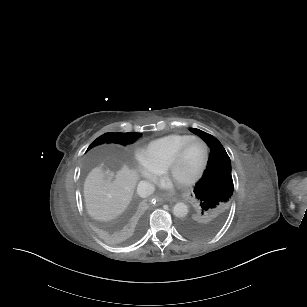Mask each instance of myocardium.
I'll list each match as a JSON object with an SVG mask.
<instances>
[{
  "mask_svg": "<svg viewBox=\"0 0 307 307\" xmlns=\"http://www.w3.org/2000/svg\"><path fill=\"white\" fill-rule=\"evenodd\" d=\"M192 141H200L205 147L204 159L200 167L182 184L183 187H190L194 185L206 172L209 165V145L208 143L200 137L192 136L186 140L176 151V153L162 166V174L164 179H168V173L175 165H177L183 158L187 146Z\"/></svg>",
  "mask_w": 307,
  "mask_h": 307,
  "instance_id": "1",
  "label": "myocardium"
}]
</instances>
